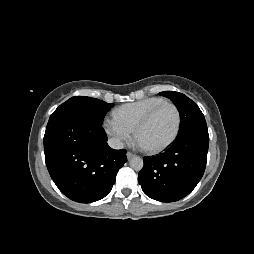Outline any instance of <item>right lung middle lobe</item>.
Listing matches in <instances>:
<instances>
[{"label":"right lung middle lobe","instance_id":"right-lung-middle-lobe-1","mask_svg":"<svg viewBox=\"0 0 254 254\" xmlns=\"http://www.w3.org/2000/svg\"><path fill=\"white\" fill-rule=\"evenodd\" d=\"M113 106L114 104L106 103L99 99L75 96L61 104L52 113L50 119L62 115H73L102 125L106 113Z\"/></svg>","mask_w":254,"mask_h":254}]
</instances>
